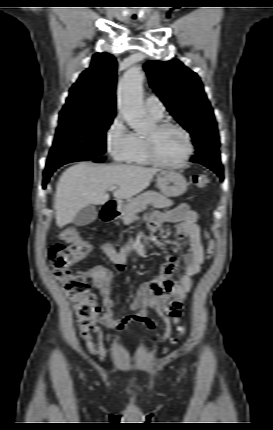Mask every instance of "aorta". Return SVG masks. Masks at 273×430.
<instances>
[{
    "label": "aorta",
    "instance_id": "1",
    "mask_svg": "<svg viewBox=\"0 0 273 430\" xmlns=\"http://www.w3.org/2000/svg\"><path fill=\"white\" fill-rule=\"evenodd\" d=\"M118 109L127 124L137 132L148 129L143 103L142 71L138 66L126 72L118 85Z\"/></svg>",
    "mask_w": 273,
    "mask_h": 430
}]
</instances>
